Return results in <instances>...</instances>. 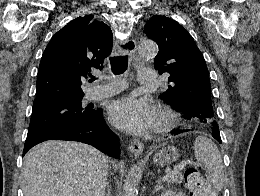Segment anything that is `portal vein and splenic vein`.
Listing matches in <instances>:
<instances>
[{
  "label": "portal vein and splenic vein",
  "instance_id": "obj_1",
  "mask_svg": "<svg viewBox=\"0 0 260 196\" xmlns=\"http://www.w3.org/2000/svg\"><path fill=\"white\" fill-rule=\"evenodd\" d=\"M187 162H180V164H178V166H176L175 170H173V172H169V174L162 175L161 179L164 180V182H167V180H171V178H174V176H176V174H180V170H183V168H185Z\"/></svg>",
  "mask_w": 260,
  "mask_h": 196
}]
</instances>
